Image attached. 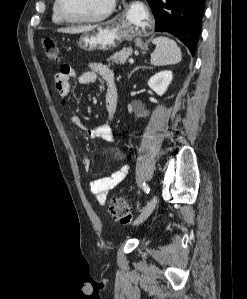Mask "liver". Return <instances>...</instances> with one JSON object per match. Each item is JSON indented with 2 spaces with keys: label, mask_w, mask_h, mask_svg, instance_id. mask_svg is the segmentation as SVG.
<instances>
[{
  "label": "liver",
  "mask_w": 247,
  "mask_h": 299,
  "mask_svg": "<svg viewBox=\"0 0 247 299\" xmlns=\"http://www.w3.org/2000/svg\"><path fill=\"white\" fill-rule=\"evenodd\" d=\"M96 26L95 25H88V26H79V27H72V28H61L58 29V32L62 33H69V34H78V33H86L93 30Z\"/></svg>",
  "instance_id": "liver-1"
}]
</instances>
